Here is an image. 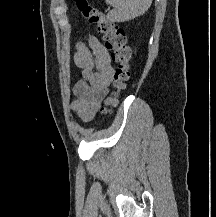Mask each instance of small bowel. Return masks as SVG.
Wrapping results in <instances>:
<instances>
[{"instance_id":"small-bowel-1","label":"small bowel","mask_w":216,"mask_h":217,"mask_svg":"<svg viewBox=\"0 0 216 217\" xmlns=\"http://www.w3.org/2000/svg\"><path fill=\"white\" fill-rule=\"evenodd\" d=\"M113 61L110 50L94 36L76 44L74 62L82 78L74 87L76 98L70 108L82 122L94 118L107 96L114 78Z\"/></svg>"}]
</instances>
